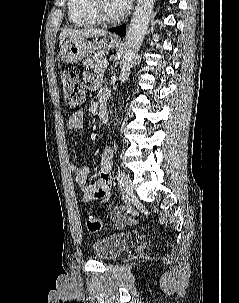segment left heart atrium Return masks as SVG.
Returning <instances> with one entry per match:
<instances>
[{"label":"left heart atrium","instance_id":"39dd6f15","mask_svg":"<svg viewBox=\"0 0 239 303\" xmlns=\"http://www.w3.org/2000/svg\"><path fill=\"white\" fill-rule=\"evenodd\" d=\"M114 3L123 11L130 8L133 0H113Z\"/></svg>","mask_w":239,"mask_h":303}]
</instances>
